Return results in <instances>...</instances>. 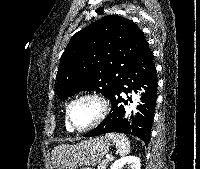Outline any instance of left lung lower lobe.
Masks as SVG:
<instances>
[{"label":"left lung lower lobe","mask_w":200,"mask_h":169,"mask_svg":"<svg viewBox=\"0 0 200 169\" xmlns=\"http://www.w3.org/2000/svg\"><path fill=\"white\" fill-rule=\"evenodd\" d=\"M153 53L149 49L142 58L131 67L119 86L112 92L109 99L112 103V109L107 118L94 130L83 136H97L109 132H119L131 134L142 139L147 145L150 140L152 120L155 111L157 98V77L156 68L153 62ZM145 85V86H144ZM143 87L145 93L142 94V103L138 113L131 119H122L125 114L124 107L127 101L120 96L121 92L126 94L132 90Z\"/></svg>","instance_id":"left-lung-lower-lobe-1"}]
</instances>
